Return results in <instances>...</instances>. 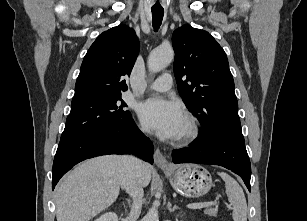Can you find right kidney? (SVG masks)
<instances>
[{
  "label": "right kidney",
  "mask_w": 307,
  "mask_h": 221,
  "mask_svg": "<svg viewBox=\"0 0 307 221\" xmlns=\"http://www.w3.org/2000/svg\"><path fill=\"white\" fill-rule=\"evenodd\" d=\"M95 221H118V217L115 213L108 212V213L101 215Z\"/></svg>",
  "instance_id": "right-kidney-1"
}]
</instances>
